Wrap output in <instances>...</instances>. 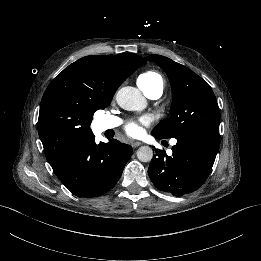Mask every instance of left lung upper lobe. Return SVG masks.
I'll return each mask as SVG.
<instances>
[{
    "label": "left lung upper lobe",
    "instance_id": "5c2ea615",
    "mask_svg": "<svg viewBox=\"0 0 261 261\" xmlns=\"http://www.w3.org/2000/svg\"><path fill=\"white\" fill-rule=\"evenodd\" d=\"M167 74L172 86L170 118L161 121L152 131L161 138H180L193 131L219 136L220 111L211 87L189 68L160 56L150 55Z\"/></svg>",
    "mask_w": 261,
    "mask_h": 261
}]
</instances>
